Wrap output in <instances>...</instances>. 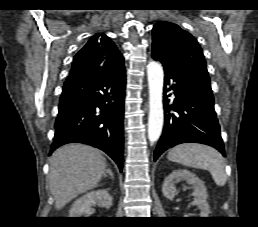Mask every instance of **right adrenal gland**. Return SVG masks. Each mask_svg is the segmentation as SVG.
<instances>
[{
	"mask_svg": "<svg viewBox=\"0 0 258 227\" xmlns=\"http://www.w3.org/2000/svg\"><path fill=\"white\" fill-rule=\"evenodd\" d=\"M106 172L111 176V178H114V174H113V172L111 171L110 168H108V169L106 170Z\"/></svg>",
	"mask_w": 258,
	"mask_h": 227,
	"instance_id": "obj_1",
	"label": "right adrenal gland"
}]
</instances>
